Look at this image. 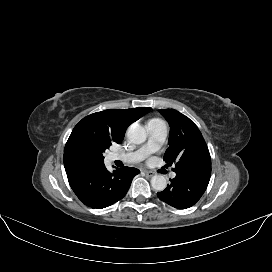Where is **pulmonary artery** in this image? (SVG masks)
<instances>
[{
    "label": "pulmonary artery",
    "mask_w": 272,
    "mask_h": 272,
    "mask_svg": "<svg viewBox=\"0 0 272 272\" xmlns=\"http://www.w3.org/2000/svg\"><path fill=\"white\" fill-rule=\"evenodd\" d=\"M148 140L139 149L129 153H114L113 160H119L125 163H136L141 161L148 154L158 150L165 142L167 137V126L159 119H152L147 123ZM171 177H176L172 172Z\"/></svg>",
    "instance_id": "pulmonary-artery-1"
}]
</instances>
